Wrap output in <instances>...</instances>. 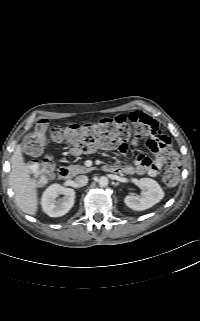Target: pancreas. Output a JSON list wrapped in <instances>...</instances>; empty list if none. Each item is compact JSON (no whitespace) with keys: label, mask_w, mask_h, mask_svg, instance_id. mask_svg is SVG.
<instances>
[{"label":"pancreas","mask_w":200,"mask_h":321,"mask_svg":"<svg viewBox=\"0 0 200 321\" xmlns=\"http://www.w3.org/2000/svg\"><path fill=\"white\" fill-rule=\"evenodd\" d=\"M69 170L72 172L73 175L88 173L92 170V168H87L81 165H70Z\"/></svg>","instance_id":"1"}]
</instances>
